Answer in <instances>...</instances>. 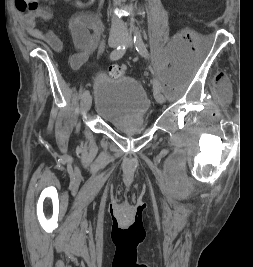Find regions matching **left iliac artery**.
Masks as SVG:
<instances>
[{
  "label": "left iliac artery",
  "mask_w": 253,
  "mask_h": 267,
  "mask_svg": "<svg viewBox=\"0 0 253 267\" xmlns=\"http://www.w3.org/2000/svg\"><path fill=\"white\" fill-rule=\"evenodd\" d=\"M133 41H134L135 48H136L137 52L141 56H143L145 58H149L147 47H146V45H145V43L141 37V34L138 30L135 31ZM152 84H153V89H158L161 91V85L156 79L152 80Z\"/></svg>",
  "instance_id": "obj_1"
}]
</instances>
